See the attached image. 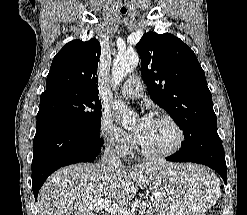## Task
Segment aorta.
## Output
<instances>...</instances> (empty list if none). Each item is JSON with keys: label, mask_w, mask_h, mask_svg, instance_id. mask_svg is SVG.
<instances>
[{"label": "aorta", "mask_w": 247, "mask_h": 215, "mask_svg": "<svg viewBox=\"0 0 247 215\" xmlns=\"http://www.w3.org/2000/svg\"><path fill=\"white\" fill-rule=\"evenodd\" d=\"M138 62L139 57L135 52L119 53L115 57L112 68V83L115 87L137 66ZM115 109L122 115V124L124 126H127L131 119L134 118V112L129 111L124 104H117Z\"/></svg>", "instance_id": "obj_1"}]
</instances>
